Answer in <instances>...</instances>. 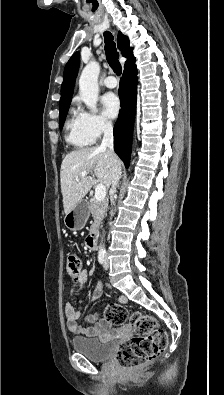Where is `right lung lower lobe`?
Segmentation results:
<instances>
[{
	"mask_svg": "<svg viewBox=\"0 0 224 395\" xmlns=\"http://www.w3.org/2000/svg\"><path fill=\"white\" fill-rule=\"evenodd\" d=\"M136 82L137 77L134 59L125 66L123 76L120 80L119 97L122 109L113 130L114 150L122 159L126 168L129 166L130 162L133 118L137 96Z\"/></svg>",
	"mask_w": 224,
	"mask_h": 395,
	"instance_id": "98d812e1",
	"label": "right lung lower lobe"
}]
</instances>
